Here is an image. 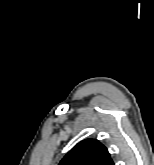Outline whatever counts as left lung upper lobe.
I'll list each match as a JSON object with an SVG mask.
<instances>
[{
    "label": "left lung upper lobe",
    "instance_id": "left-lung-upper-lobe-1",
    "mask_svg": "<svg viewBox=\"0 0 154 165\" xmlns=\"http://www.w3.org/2000/svg\"><path fill=\"white\" fill-rule=\"evenodd\" d=\"M59 165H114L108 150L99 141L86 139L78 143Z\"/></svg>",
    "mask_w": 154,
    "mask_h": 165
}]
</instances>
